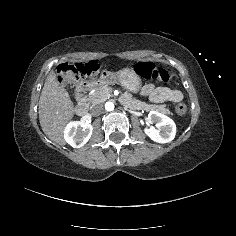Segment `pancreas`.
<instances>
[{"instance_id":"obj_1","label":"pancreas","mask_w":236,"mask_h":236,"mask_svg":"<svg viewBox=\"0 0 236 236\" xmlns=\"http://www.w3.org/2000/svg\"><path fill=\"white\" fill-rule=\"evenodd\" d=\"M112 88L108 85L97 86L85 96L82 101L86 102L88 105H93L97 103H102L111 97ZM118 101L125 107L131 110H156L162 114H170V111L166 108V105H149L145 102H141L132 97V94L124 92L118 99Z\"/></svg>"}]
</instances>
